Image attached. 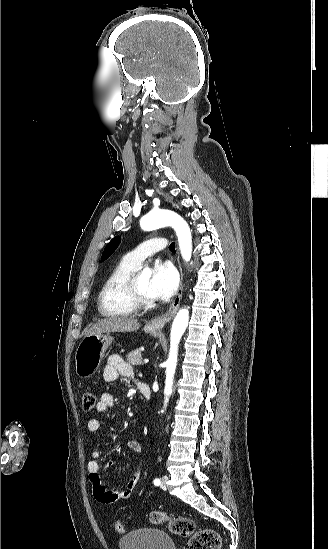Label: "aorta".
<instances>
[{
	"mask_svg": "<svg viewBox=\"0 0 328 549\" xmlns=\"http://www.w3.org/2000/svg\"><path fill=\"white\" fill-rule=\"evenodd\" d=\"M140 226L145 231H152L158 228L171 226L178 237L181 255L185 261H189L192 254V236L186 221L177 213L166 210H153L141 218ZM142 277L149 278L151 271L144 269ZM189 321V311L187 308L180 309L174 318L170 333V352L166 361V380H165V405L169 401L172 393L173 378L177 366L178 345L186 330Z\"/></svg>",
	"mask_w": 328,
	"mask_h": 549,
	"instance_id": "aorta-1",
	"label": "aorta"
}]
</instances>
